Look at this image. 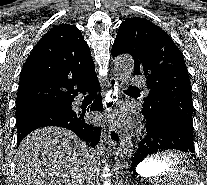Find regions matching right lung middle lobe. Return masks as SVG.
Masks as SVG:
<instances>
[{
    "instance_id": "dd1d6c3e",
    "label": "right lung middle lobe",
    "mask_w": 207,
    "mask_h": 185,
    "mask_svg": "<svg viewBox=\"0 0 207 185\" xmlns=\"http://www.w3.org/2000/svg\"><path fill=\"white\" fill-rule=\"evenodd\" d=\"M68 109H70L69 106L61 103V104H53V105L40 107V108H34L30 110L16 111V123L28 117L34 116V115L46 114V113L56 111V110H68Z\"/></svg>"
}]
</instances>
